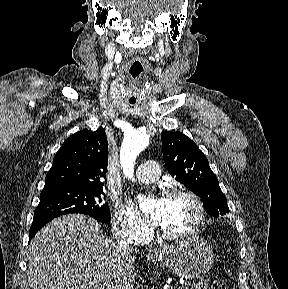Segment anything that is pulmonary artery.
Here are the masks:
<instances>
[{
  "label": "pulmonary artery",
  "instance_id": "pulmonary-artery-1",
  "mask_svg": "<svg viewBox=\"0 0 288 289\" xmlns=\"http://www.w3.org/2000/svg\"><path fill=\"white\" fill-rule=\"evenodd\" d=\"M160 173L158 163L154 160H148L138 167L136 179L142 183H152L159 178Z\"/></svg>",
  "mask_w": 288,
  "mask_h": 289
}]
</instances>
